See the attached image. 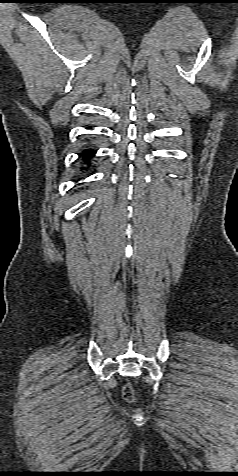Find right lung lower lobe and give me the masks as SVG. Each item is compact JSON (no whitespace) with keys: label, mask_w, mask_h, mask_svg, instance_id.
Masks as SVG:
<instances>
[{"label":"right lung lower lobe","mask_w":238,"mask_h":476,"mask_svg":"<svg viewBox=\"0 0 238 476\" xmlns=\"http://www.w3.org/2000/svg\"><path fill=\"white\" fill-rule=\"evenodd\" d=\"M94 149H84L81 153V159L84 164L90 165L91 158L95 155Z\"/></svg>","instance_id":"obj_1"}]
</instances>
